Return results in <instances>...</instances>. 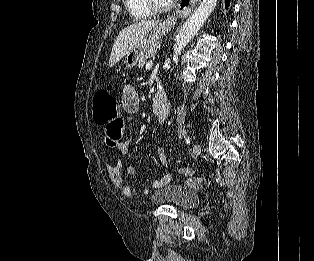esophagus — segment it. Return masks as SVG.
<instances>
[{
    "label": "esophagus",
    "mask_w": 314,
    "mask_h": 261,
    "mask_svg": "<svg viewBox=\"0 0 314 261\" xmlns=\"http://www.w3.org/2000/svg\"><path fill=\"white\" fill-rule=\"evenodd\" d=\"M198 0H190V4L185 6L184 4H179L176 13L179 15L188 16L197 5Z\"/></svg>",
    "instance_id": "34e87169"
}]
</instances>
